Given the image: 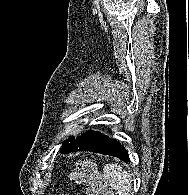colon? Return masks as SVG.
Wrapping results in <instances>:
<instances>
[{
	"instance_id": "5ec220e1",
	"label": "colon",
	"mask_w": 189,
	"mask_h": 195,
	"mask_svg": "<svg viewBox=\"0 0 189 195\" xmlns=\"http://www.w3.org/2000/svg\"><path fill=\"white\" fill-rule=\"evenodd\" d=\"M71 177L75 182L88 186L87 195L109 194L107 179L95 174L94 168L86 158H82L76 162Z\"/></svg>"
}]
</instances>
